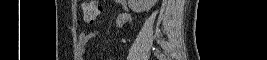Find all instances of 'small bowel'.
I'll return each instance as SVG.
<instances>
[{"label": "small bowel", "instance_id": "1", "mask_svg": "<svg viewBox=\"0 0 267 60\" xmlns=\"http://www.w3.org/2000/svg\"><path fill=\"white\" fill-rule=\"evenodd\" d=\"M117 3H119L120 5H122L124 8L127 7V2L125 0H119L116 1ZM132 21V18L130 16V14L128 13H121L118 15L117 19H116V23L119 26H124L126 24H129ZM98 35V31L97 30H92V31H85L82 32L79 35V42L81 44H85L88 41H90L91 39L95 38Z\"/></svg>", "mask_w": 267, "mask_h": 60}]
</instances>
